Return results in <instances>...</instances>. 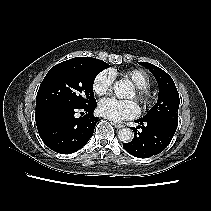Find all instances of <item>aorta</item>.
Instances as JSON below:
<instances>
[{
	"label": "aorta",
	"instance_id": "aorta-1",
	"mask_svg": "<svg viewBox=\"0 0 211 211\" xmlns=\"http://www.w3.org/2000/svg\"><path fill=\"white\" fill-rule=\"evenodd\" d=\"M114 93L118 98L129 97L132 93V86L129 81L119 80L114 84ZM118 138L123 143H129L133 139V132L130 128H123L118 132Z\"/></svg>",
	"mask_w": 211,
	"mask_h": 211
}]
</instances>
